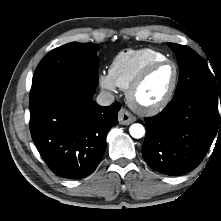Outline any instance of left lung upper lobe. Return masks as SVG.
I'll return each mask as SVG.
<instances>
[{
	"mask_svg": "<svg viewBox=\"0 0 221 221\" xmlns=\"http://www.w3.org/2000/svg\"><path fill=\"white\" fill-rule=\"evenodd\" d=\"M168 46L176 53L180 67V76L174 96L197 91L209 95L217 101L219 98L221 99V82L218 78H214L200 56L185 45L168 43Z\"/></svg>",
	"mask_w": 221,
	"mask_h": 221,
	"instance_id": "1",
	"label": "left lung upper lobe"
}]
</instances>
